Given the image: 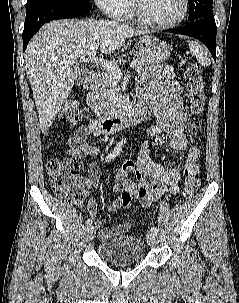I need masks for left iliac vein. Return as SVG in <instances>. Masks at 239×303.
<instances>
[{
	"mask_svg": "<svg viewBox=\"0 0 239 303\" xmlns=\"http://www.w3.org/2000/svg\"><path fill=\"white\" fill-rule=\"evenodd\" d=\"M147 243L150 246H155L157 244V235L154 232H148L146 235Z\"/></svg>",
	"mask_w": 239,
	"mask_h": 303,
	"instance_id": "4c4485c4",
	"label": "left iliac vein"
}]
</instances>
